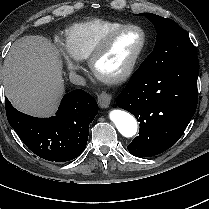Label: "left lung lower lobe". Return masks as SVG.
<instances>
[{"label": "left lung lower lobe", "instance_id": "1", "mask_svg": "<svg viewBox=\"0 0 209 209\" xmlns=\"http://www.w3.org/2000/svg\"><path fill=\"white\" fill-rule=\"evenodd\" d=\"M198 74V57L158 72L136 70L116 99L140 122L139 136L127 147L132 155H158L179 140L197 107Z\"/></svg>", "mask_w": 209, "mask_h": 209}]
</instances>
